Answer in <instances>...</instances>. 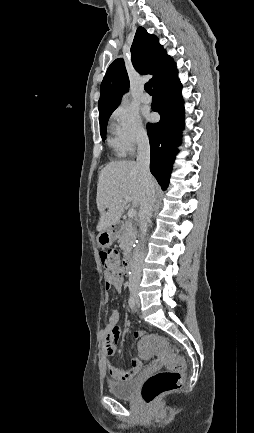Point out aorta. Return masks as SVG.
Segmentation results:
<instances>
[{
  "instance_id": "obj_1",
  "label": "aorta",
  "mask_w": 254,
  "mask_h": 433,
  "mask_svg": "<svg viewBox=\"0 0 254 433\" xmlns=\"http://www.w3.org/2000/svg\"><path fill=\"white\" fill-rule=\"evenodd\" d=\"M127 102V96H124L122 99V103H126Z\"/></svg>"
}]
</instances>
